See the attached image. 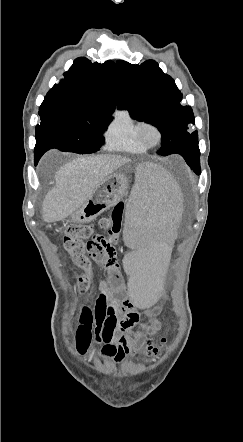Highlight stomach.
I'll return each instance as SVG.
<instances>
[{"label":"stomach","instance_id":"1","mask_svg":"<svg viewBox=\"0 0 243 442\" xmlns=\"http://www.w3.org/2000/svg\"><path fill=\"white\" fill-rule=\"evenodd\" d=\"M128 188L129 182L124 174H110L95 189L89 199L71 215V220L76 223L93 221L123 199Z\"/></svg>","mask_w":243,"mask_h":442}]
</instances>
